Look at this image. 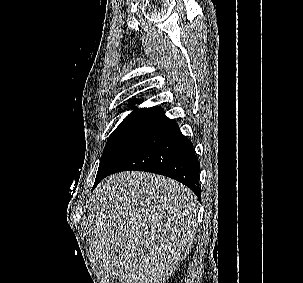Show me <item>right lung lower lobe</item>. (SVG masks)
Listing matches in <instances>:
<instances>
[{
  "label": "right lung lower lobe",
  "mask_w": 303,
  "mask_h": 283,
  "mask_svg": "<svg viewBox=\"0 0 303 283\" xmlns=\"http://www.w3.org/2000/svg\"><path fill=\"white\" fill-rule=\"evenodd\" d=\"M126 170L146 171L173 178L200 198V167L193 144L178 124L164 114L135 140L111 169L97 179L93 189L108 175Z\"/></svg>",
  "instance_id": "right-lung-lower-lobe-1"
}]
</instances>
